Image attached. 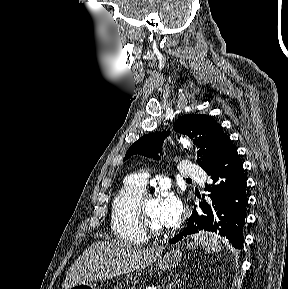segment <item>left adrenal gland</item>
<instances>
[{
  "label": "left adrenal gland",
  "instance_id": "1",
  "mask_svg": "<svg viewBox=\"0 0 288 289\" xmlns=\"http://www.w3.org/2000/svg\"><path fill=\"white\" fill-rule=\"evenodd\" d=\"M179 275L175 274L172 276V282L170 284H168L166 289H171L173 286H175V284L179 281L178 280Z\"/></svg>",
  "mask_w": 288,
  "mask_h": 289
}]
</instances>
